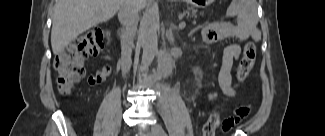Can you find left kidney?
<instances>
[{"label":"left kidney","mask_w":325,"mask_h":136,"mask_svg":"<svg viewBox=\"0 0 325 136\" xmlns=\"http://www.w3.org/2000/svg\"><path fill=\"white\" fill-rule=\"evenodd\" d=\"M193 72L195 75H198L197 81H200L202 78V71L200 70L199 67L193 68Z\"/></svg>","instance_id":"1"}]
</instances>
